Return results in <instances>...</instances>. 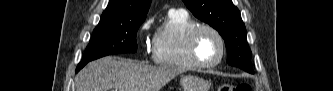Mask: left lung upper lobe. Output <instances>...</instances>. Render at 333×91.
Masks as SVG:
<instances>
[{
	"label": "left lung upper lobe",
	"mask_w": 333,
	"mask_h": 91,
	"mask_svg": "<svg viewBox=\"0 0 333 91\" xmlns=\"http://www.w3.org/2000/svg\"><path fill=\"white\" fill-rule=\"evenodd\" d=\"M195 17L215 28L225 40L231 66L252 73L251 50L240 12L232 0H183Z\"/></svg>",
	"instance_id": "obj_1"
}]
</instances>
